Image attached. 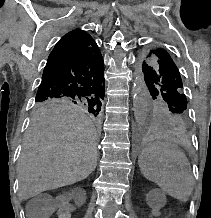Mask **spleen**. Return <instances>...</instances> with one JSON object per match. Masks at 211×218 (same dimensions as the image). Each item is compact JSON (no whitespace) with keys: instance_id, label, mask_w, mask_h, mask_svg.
I'll return each mask as SVG.
<instances>
[{"instance_id":"spleen-1","label":"spleen","mask_w":211,"mask_h":218,"mask_svg":"<svg viewBox=\"0 0 211 218\" xmlns=\"http://www.w3.org/2000/svg\"><path fill=\"white\" fill-rule=\"evenodd\" d=\"M138 166L144 178L180 202H187L193 192V176L183 152L146 148L138 158Z\"/></svg>"}]
</instances>
